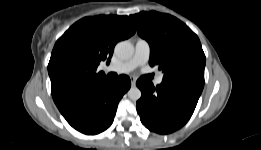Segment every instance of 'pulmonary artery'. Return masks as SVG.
Listing matches in <instances>:
<instances>
[{"label":"pulmonary artery","instance_id":"1","mask_svg":"<svg viewBox=\"0 0 261 150\" xmlns=\"http://www.w3.org/2000/svg\"><path fill=\"white\" fill-rule=\"evenodd\" d=\"M150 58V45L145 39H138L135 44L134 54L126 61L111 65L108 70L115 71L117 73H128L135 68L144 65ZM163 76L159 75L155 79L156 84H161Z\"/></svg>","mask_w":261,"mask_h":150}]
</instances>
